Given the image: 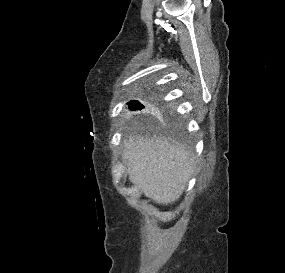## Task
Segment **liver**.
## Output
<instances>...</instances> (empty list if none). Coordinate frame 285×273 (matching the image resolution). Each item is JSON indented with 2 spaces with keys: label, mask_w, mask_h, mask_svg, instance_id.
Returning <instances> with one entry per match:
<instances>
[{
  "label": "liver",
  "mask_w": 285,
  "mask_h": 273,
  "mask_svg": "<svg viewBox=\"0 0 285 273\" xmlns=\"http://www.w3.org/2000/svg\"><path fill=\"white\" fill-rule=\"evenodd\" d=\"M124 147L129 180L146 197L164 205L180 198L194 169L191 152L177 142L157 137H129Z\"/></svg>",
  "instance_id": "1"
}]
</instances>
